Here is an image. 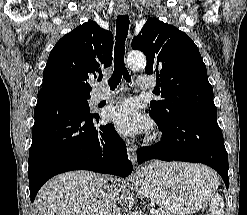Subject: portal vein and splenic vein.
Instances as JSON below:
<instances>
[{"label": "portal vein and splenic vein", "mask_w": 247, "mask_h": 215, "mask_svg": "<svg viewBox=\"0 0 247 215\" xmlns=\"http://www.w3.org/2000/svg\"><path fill=\"white\" fill-rule=\"evenodd\" d=\"M150 213H151V215H158L159 214L158 211L155 209H150Z\"/></svg>", "instance_id": "obj_1"}]
</instances>
